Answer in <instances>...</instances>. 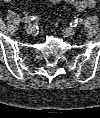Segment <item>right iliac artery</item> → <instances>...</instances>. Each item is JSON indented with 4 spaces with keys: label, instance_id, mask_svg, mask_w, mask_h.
Returning <instances> with one entry per match:
<instances>
[{
    "label": "right iliac artery",
    "instance_id": "right-iliac-artery-1",
    "mask_svg": "<svg viewBox=\"0 0 100 118\" xmlns=\"http://www.w3.org/2000/svg\"><path fill=\"white\" fill-rule=\"evenodd\" d=\"M38 20V17L36 16H26L22 19V22L27 24L30 23L31 21Z\"/></svg>",
    "mask_w": 100,
    "mask_h": 118
}]
</instances>
